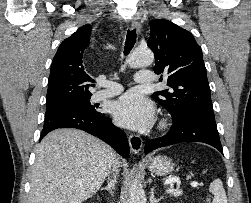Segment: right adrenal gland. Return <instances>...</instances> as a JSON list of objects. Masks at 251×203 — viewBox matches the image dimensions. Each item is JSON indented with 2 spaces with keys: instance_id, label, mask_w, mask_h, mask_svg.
Here are the masks:
<instances>
[{
  "instance_id": "1",
  "label": "right adrenal gland",
  "mask_w": 251,
  "mask_h": 203,
  "mask_svg": "<svg viewBox=\"0 0 251 203\" xmlns=\"http://www.w3.org/2000/svg\"><path fill=\"white\" fill-rule=\"evenodd\" d=\"M117 183L116 176L108 181V185L101 190H107L111 196H113L115 190V184Z\"/></svg>"
}]
</instances>
